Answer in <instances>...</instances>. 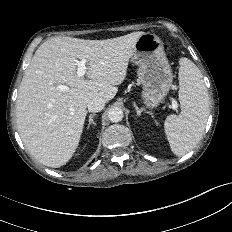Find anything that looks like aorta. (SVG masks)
<instances>
[{
    "mask_svg": "<svg viewBox=\"0 0 232 232\" xmlns=\"http://www.w3.org/2000/svg\"><path fill=\"white\" fill-rule=\"evenodd\" d=\"M123 117V110L120 107H112L108 110V118L113 123L120 122Z\"/></svg>",
    "mask_w": 232,
    "mask_h": 232,
    "instance_id": "obj_1",
    "label": "aorta"
}]
</instances>
